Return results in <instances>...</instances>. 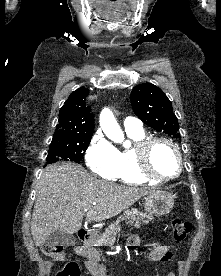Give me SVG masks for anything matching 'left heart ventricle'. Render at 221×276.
<instances>
[{
  "label": "left heart ventricle",
  "mask_w": 221,
  "mask_h": 276,
  "mask_svg": "<svg viewBox=\"0 0 221 276\" xmlns=\"http://www.w3.org/2000/svg\"><path fill=\"white\" fill-rule=\"evenodd\" d=\"M153 170L162 176L173 175L178 170L177 157L172 148L164 143H156L150 153Z\"/></svg>",
  "instance_id": "left-heart-ventricle-1"
}]
</instances>
